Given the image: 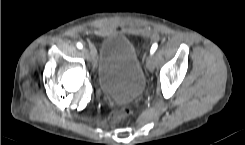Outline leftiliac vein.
I'll use <instances>...</instances> for the list:
<instances>
[{
	"instance_id": "left-iliac-vein-1",
	"label": "left iliac vein",
	"mask_w": 245,
	"mask_h": 145,
	"mask_svg": "<svg viewBox=\"0 0 245 145\" xmlns=\"http://www.w3.org/2000/svg\"><path fill=\"white\" fill-rule=\"evenodd\" d=\"M146 66L148 68L149 71H153L154 68H155V63H154V59H153V56L149 55L147 57V60H146Z\"/></svg>"
}]
</instances>
